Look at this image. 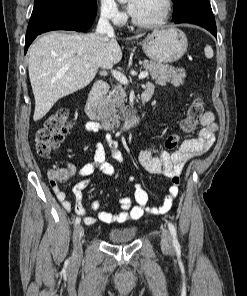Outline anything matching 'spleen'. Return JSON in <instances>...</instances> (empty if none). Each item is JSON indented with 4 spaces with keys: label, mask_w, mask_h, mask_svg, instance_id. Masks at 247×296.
Here are the masks:
<instances>
[{
    "label": "spleen",
    "mask_w": 247,
    "mask_h": 296,
    "mask_svg": "<svg viewBox=\"0 0 247 296\" xmlns=\"http://www.w3.org/2000/svg\"><path fill=\"white\" fill-rule=\"evenodd\" d=\"M204 53H205V56L207 58H212L214 53H213V49L211 46L207 45L205 48H204Z\"/></svg>",
    "instance_id": "3e777b00"
}]
</instances>
